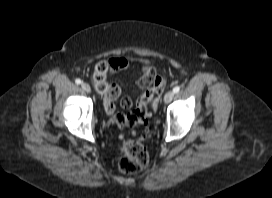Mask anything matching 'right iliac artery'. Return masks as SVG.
<instances>
[{"mask_svg": "<svg viewBox=\"0 0 272 198\" xmlns=\"http://www.w3.org/2000/svg\"><path fill=\"white\" fill-rule=\"evenodd\" d=\"M75 83L79 85V84H81V80L80 79H76Z\"/></svg>", "mask_w": 272, "mask_h": 198, "instance_id": "right-iliac-artery-1", "label": "right iliac artery"}]
</instances>
